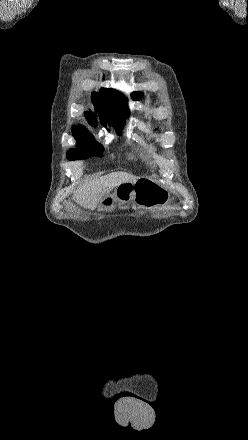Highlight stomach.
<instances>
[{"instance_id":"obj_1","label":"stomach","mask_w":248,"mask_h":440,"mask_svg":"<svg viewBox=\"0 0 248 440\" xmlns=\"http://www.w3.org/2000/svg\"><path fill=\"white\" fill-rule=\"evenodd\" d=\"M170 200L169 191L150 178H139L135 183H122L112 195L105 196L99 204L101 210H111L115 203L133 201L138 207L153 208L165 205Z\"/></svg>"}]
</instances>
